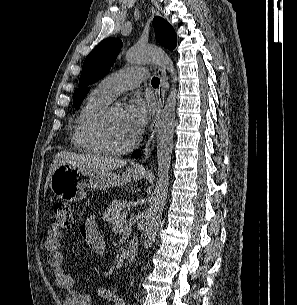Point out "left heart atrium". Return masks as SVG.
<instances>
[{"mask_svg":"<svg viewBox=\"0 0 297 305\" xmlns=\"http://www.w3.org/2000/svg\"><path fill=\"white\" fill-rule=\"evenodd\" d=\"M152 110L153 104L151 101L136 96L123 111L124 123L134 138L143 131Z\"/></svg>","mask_w":297,"mask_h":305,"instance_id":"obj_1","label":"left heart atrium"}]
</instances>
